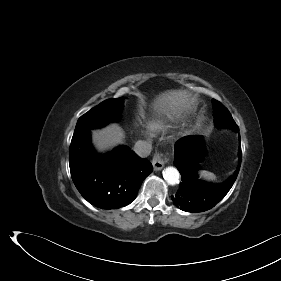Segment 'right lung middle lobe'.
<instances>
[{"instance_id": "obj_1", "label": "right lung middle lobe", "mask_w": 281, "mask_h": 281, "mask_svg": "<svg viewBox=\"0 0 281 281\" xmlns=\"http://www.w3.org/2000/svg\"><path fill=\"white\" fill-rule=\"evenodd\" d=\"M124 97L105 100L82 115L76 124L74 135L92 128L102 127L108 122L118 121Z\"/></svg>"}]
</instances>
